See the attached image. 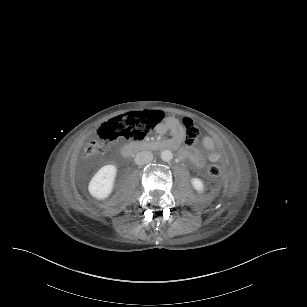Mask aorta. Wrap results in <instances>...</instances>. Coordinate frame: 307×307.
<instances>
[{"mask_svg": "<svg viewBox=\"0 0 307 307\" xmlns=\"http://www.w3.org/2000/svg\"><path fill=\"white\" fill-rule=\"evenodd\" d=\"M162 161L169 162L173 159V153L171 150H163L160 155Z\"/></svg>", "mask_w": 307, "mask_h": 307, "instance_id": "obj_1", "label": "aorta"}]
</instances>
